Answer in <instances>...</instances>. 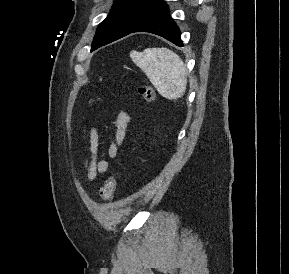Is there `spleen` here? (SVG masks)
Instances as JSON below:
<instances>
[{
	"mask_svg": "<svg viewBox=\"0 0 289 274\" xmlns=\"http://www.w3.org/2000/svg\"><path fill=\"white\" fill-rule=\"evenodd\" d=\"M133 62L146 74L165 98H181L187 86L186 68L180 57L167 48H147L131 52Z\"/></svg>",
	"mask_w": 289,
	"mask_h": 274,
	"instance_id": "spleen-1",
	"label": "spleen"
}]
</instances>
